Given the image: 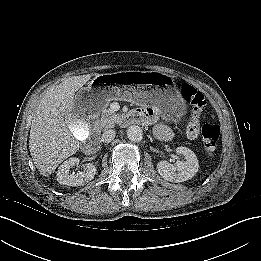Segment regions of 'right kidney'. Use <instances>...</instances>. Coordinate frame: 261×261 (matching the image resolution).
I'll return each instance as SVG.
<instances>
[{
  "label": "right kidney",
  "instance_id": "obj_1",
  "mask_svg": "<svg viewBox=\"0 0 261 261\" xmlns=\"http://www.w3.org/2000/svg\"><path fill=\"white\" fill-rule=\"evenodd\" d=\"M71 120L73 117H70ZM74 120V119H73ZM79 135V133H78ZM83 139L86 138L85 135H80ZM79 159L76 157L69 158L68 160L64 161L62 165L59 166L57 172V181L60 184L68 185V186H82L91 181L95 174H96V167L92 163H87L85 168L82 172L77 174H70L69 170L75 164L79 163Z\"/></svg>",
  "mask_w": 261,
  "mask_h": 261
}]
</instances>
